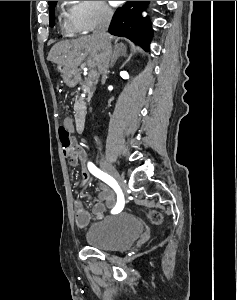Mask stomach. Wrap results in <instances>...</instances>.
<instances>
[{
	"label": "stomach",
	"instance_id": "0dacf381",
	"mask_svg": "<svg viewBox=\"0 0 237 300\" xmlns=\"http://www.w3.org/2000/svg\"><path fill=\"white\" fill-rule=\"evenodd\" d=\"M56 71L61 73V77H63L65 83H67L69 87H75V85H77L79 75L75 69H67L64 65H57Z\"/></svg>",
	"mask_w": 237,
	"mask_h": 300
}]
</instances>
